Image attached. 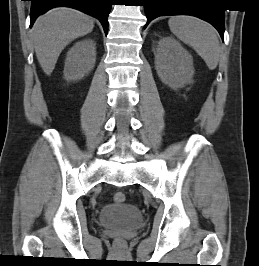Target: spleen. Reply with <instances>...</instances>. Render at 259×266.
<instances>
[{
    "label": "spleen",
    "mask_w": 259,
    "mask_h": 266,
    "mask_svg": "<svg viewBox=\"0 0 259 266\" xmlns=\"http://www.w3.org/2000/svg\"><path fill=\"white\" fill-rule=\"evenodd\" d=\"M168 24L171 32L183 43L192 47L210 70L217 67L220 44L212 25L187 15L173 16L169 19Z\"/></svg>",
    "instance_id": "3e777b00"
}]
</instances>
